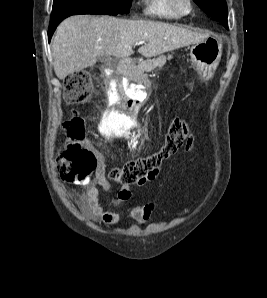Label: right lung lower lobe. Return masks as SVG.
<instances>
[{"instance_id": "obj_1", "label": "right lung lower lobe", "mask_w": 267, "mask_h": 298, "mask_svg": "<svg viewBox=\"0 0 267 298\" xmlns=\"http://www.w3.org/2000/svg\"><path fill=\"white\" fill-rule=\"evenodd\" d=\"M60 22H61V21H57V22H55V23H50V25H49V29H48V39H49V41H50V39H51V37H52V35H53V33H54L56 27L58 26V24H59Z\"/></svg>"}]
</instances>
